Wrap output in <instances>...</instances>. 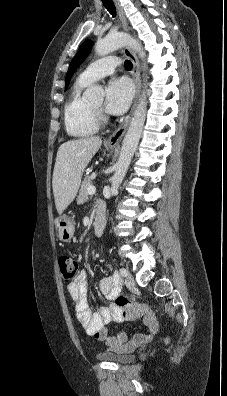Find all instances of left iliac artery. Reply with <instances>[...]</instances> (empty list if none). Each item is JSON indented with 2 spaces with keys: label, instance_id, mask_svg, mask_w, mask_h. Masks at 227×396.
Wrapping results in <instances>:
<instances>
[{
  "label": "left iliac artery",
  "instance_id": "44dca946",
  "mask_svg": "<svg viewBox=\"0 0 227 396\" xmlns=\"http://www.w3.org/2000/svg\"><path fill=\"white\" fill-rule=\"evenodd\" d=\"M119 272H120V275H121V276H126L127 273H128V271H127L126 269H124V268H121V269L119 270Z\"/></svg>",
  "mask_w": 227,
  "mask_h": 396
}]
</instances>
